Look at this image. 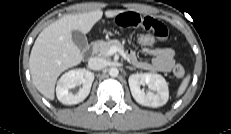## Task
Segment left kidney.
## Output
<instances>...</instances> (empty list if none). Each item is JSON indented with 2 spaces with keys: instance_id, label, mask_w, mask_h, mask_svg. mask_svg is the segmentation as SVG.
Listing matches in <instances>:
<instances>
[{
  "instance_id": "left-kidney-1",
  "label": "left kidney",
  "mask_w": 231,
  "mask_h": 134,
  "mask_svg": "<svg viewBox=\"0 0 231 134\" xmlns=\"http://www.w3.org/2000/svg\"><path fill=\"white\" fill-rule=\"evenodd\" d=\"M129 86L133 98L141 105L159 107L167 103L169 98L168 83L157 73H136L130 75ZM147 85L150 91L145 92L141 86Z\"/></svg>"
}]
</instances>
